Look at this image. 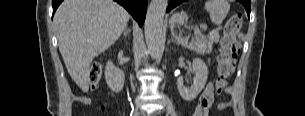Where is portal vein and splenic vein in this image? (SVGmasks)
Returning a JSON list of instances; mask_svg holds the SVG:
<instances>
[{"instance_id": "1", "label": "portal vein and splenic vein", "mask_w": 305, "mask_h": 116, "mask_svg": "<svg viewBox=\"0 0 305 116\" xmlns=\"http://www.w3.org/2000/svg\"><path fill=\"white\" fill-rule=\"evenodd\" d=\"M200 28L203 29V30H206V29H207V25L201 24V25H200ZM182 42H183V43H187V42H188V38H186V39L183 40Z\"/></svg>"}]
</instances>
